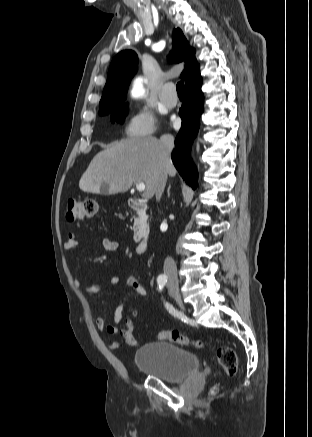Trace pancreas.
I'll use <instances>...</instances> for the list:
<instances>
[{"label": "pancreas", "mask_w": 312, "mask_h": 437, "mask_svg": "<svg viewBox=\"0 0 312 437\" xmlns=\"http://www.w3.org/2000/svg\"><path fill=\"white\" fill-rule=\"evenodd\" d=\"M132 229L134 230V240L139 241L142 237H145L149 230V225L145 218H134V224Z\"/></svg>", "instance_id": "obj_1"}]
</instances>
